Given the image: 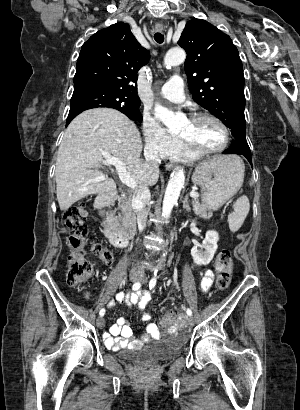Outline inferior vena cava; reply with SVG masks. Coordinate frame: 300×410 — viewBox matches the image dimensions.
Segmentation results:
<instances>
[{
  "instance_id": "obj_1",
  "label": "inferior vena cava",
  "mask_w": 300,
  "mask_h": 410,
  "mask_svg": "<svg viewBox=\"0 0 300 410\" xmlns=\"http://www.w3.org/2000/svg\"><path fill=\"white\" fill-rule=\"evenodd\" d=\"M146 164H150L155 169L159 168L161 160L156 152H147L145 154ZM150 191L148 186H140L132 198V208L137 213V222L139 230H143L146 227L147 216L149 213L148 203L150 201ZM139 265V263H138Z\"/></svg>"
}]
</instances>
